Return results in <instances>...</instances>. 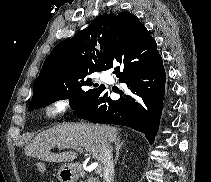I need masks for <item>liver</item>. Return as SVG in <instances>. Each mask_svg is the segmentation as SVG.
Returning a JSON list of instances; mask_svg holds the SVG:
<instances>
[{
	"instance_id": "6515ba94",
	"label": "liver",
	"mask_w": 211,
	"mask_h": 182,
	"mask_svg": "<svg viewBox=\"0 0 211 182\" xmlns=\"http://www.w3.org/2000/svg\"><path fill=\"white\" fill-rule=\"evenodd\" d=\"M118 138V130L107 125L62 123L39 133L25 148L26 156L48 162H71L77 154L72 151L51 153L56 145L60 149L81 147L97 161L103 163V148Z\"/></svg>"
}]
</instances>
